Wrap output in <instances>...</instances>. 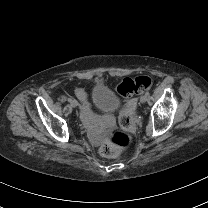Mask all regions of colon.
<instances>
[{"mask_svg": "<svg viewBox=\"0 0 208 208\" xmlns=\"http://www.w3.org/2000/svg\"><path fill=\"white\" fill-rule=\"evenodd\" d=\"M152 80L146 75L127 77L120 81L115 88L116 93L123 98H128L138 92L150 88ZM120 124L123 128L113 127L108 132V137L99 144V151L109 159H116L120 154L127 153L135 145L132 133L135 124L130 121L124 111L120 115Z\"/></svg>", "mask_w": 208, "mask_h": 208, "instance_id": "colon-1", "label": "colon"}]
</instances>
